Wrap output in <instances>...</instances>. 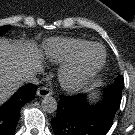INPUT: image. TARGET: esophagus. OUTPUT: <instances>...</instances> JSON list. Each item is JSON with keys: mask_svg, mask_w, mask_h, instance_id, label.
I'll use <instances>...</instances> for the list:
<instances>
[{"mask_svg": "<svg viewBox=\"0 0 135 135\" xmlns=\"http://www.w3.org/2000/svg\"><path fill=\"white\" fill-rule=\"evenodd\" d=\"M36 94L39 97H46V96L52 95V90L48 87H41V88H38Z\"/></svg>", "mask_w": 135, "mask_h": 135, "instance_id": "esophagus-1", "label": "esophagus"}]
</instances>
